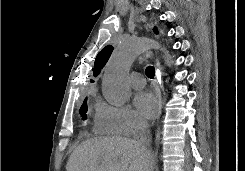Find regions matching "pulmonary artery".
Listing matches in <instances>:
<instances>
[{
	"label": "pulmonary artery",
	"mask_w": 245,
	"mask_h": 171,
	"mask_svg": "<svg viewBox=\"0 0 245 171\" xmlns=\"http://www.w3.org/2000/svg\"><path fill=\"white\" fill-rule=\"evenodd\" d=\"M129 81L134 89H142L145 85V80L140 73H136V72L132 73L129 76Z\"/></svg>",
	"instance_id": "obj_1"
}]
</instances>
